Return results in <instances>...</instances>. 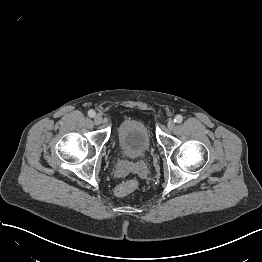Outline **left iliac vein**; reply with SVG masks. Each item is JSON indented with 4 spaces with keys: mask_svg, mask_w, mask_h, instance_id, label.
<instances>
[{
    "mask_svg": "<svg viewBox=\"0 0 262 262\" xmlns=\"http://www.w3.org/2000/svg\"><path fill=\"white\" fill-rule=\"evenodd\" d=\"M174 126H175V123H174V121L172 120V119H170L169 121H168V123H167V127H168V129H173L174 128Z\"/></svg>",
    "mask_w": 262,
    "mask_h": 262,
    "instance_id": "1",
    "label": "left iliac vein"
}]
</instances>
